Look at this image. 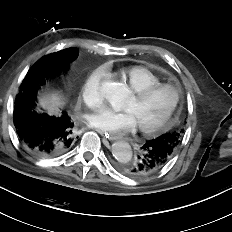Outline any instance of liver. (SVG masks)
<instances>
[{
    "instance_id": "obj_1",
    "label": "liver",
    "mask_w": 232,
    "mask_h": 232,
    "mask_svg": "<svg viewBox=\"0 0 232 232\" xmlns=\"http://www.w3.org/2000/svg\"><path fill=\"white\" fill-rule=\"evenodd\" d=\"M64 104L62 98L56 94H53L50 98H44L41 101L43 108L47 109L50 114L58 111V107Z\"/></svg>"
}]
</instances>
